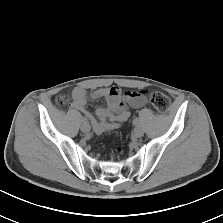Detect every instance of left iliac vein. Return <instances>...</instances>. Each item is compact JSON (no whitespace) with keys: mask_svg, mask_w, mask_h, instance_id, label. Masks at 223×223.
I'll return each instance as SVG.
<instances>
[{"mask_svg":"<svg viewBox=\"0 0 223 223\" xmlns=\"http://www.w3.org/2000/svg\"><path fill=\"white\" fill-rule=\"evenodd\" d=\"M133 136L136 138H140L143 136V130L141 127L137 126L135 127V129L133 130Z\"/></svg>","mask_w":223,"mask_h":223,"instance_id":"4c4485c4","label":"left iliac vein"}]
</instances>
